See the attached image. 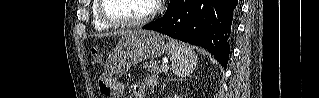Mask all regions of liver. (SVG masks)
<instances>
[{"mask_svg":"<svg viewBox=\"0 0 319 98\" xmlns=\"http://www.w3.org/2000/svg\"><path fill=\"white\" fill-rule=\"evenodd\" d=\"M130 33H132V32H120V33H113V34H103V35H101V36H110V35H116V34H124V35H127V34H130Z\"/></svg>","mask_w":319,"mask_h":98,"instance_id":"1","label":"liver"}]
</instances>
